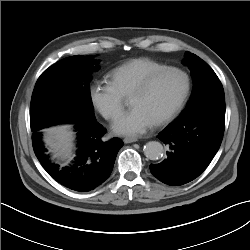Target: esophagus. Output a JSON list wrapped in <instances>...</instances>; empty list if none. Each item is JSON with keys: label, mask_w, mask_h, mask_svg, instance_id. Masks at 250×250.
<instances>
[{"label": "esophagus", "mask_w": 250, "mask_h": 250, "mask_svg": "<svg viewBox=\"0 0 250 250\" xmlns=\"http://www.w3.org/2000/svg\"><path fill=\"white\" fill-rule=\"evenodd\" d=\"M136 141H138L136 138H130V137H126V138H124L123 139V142L124 143H133V142H136Z\"/></svg>", "instance_id": "1"}]
</instances>
